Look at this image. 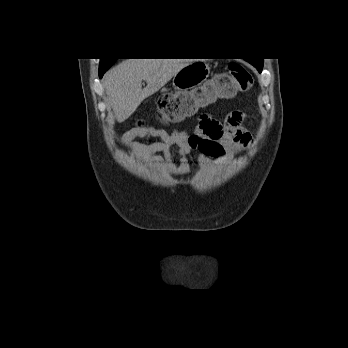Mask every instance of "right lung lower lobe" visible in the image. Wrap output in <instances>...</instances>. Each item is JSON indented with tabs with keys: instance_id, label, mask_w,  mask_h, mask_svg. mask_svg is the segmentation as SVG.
Listing matches in <instances>:
<instances>
[{
	"instance_id": "1",
	"label": "right lung lower lobe",
	"mask_w": 348,
	"mask_h": 348,
	"mask_svg": "<svg viewBox=\"0 0 348 348\" xmlns=\"http://www.w3.org/2000/svg\"><path fill=\"white\" fill-rule=\"evenodd\" d=\"M108 68H101L99 67V77L102 78L103 74L105 73V71L107 70Z\"/></svg>"
}]
</instances>
